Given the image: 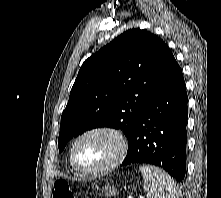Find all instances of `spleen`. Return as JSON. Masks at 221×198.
<instances>
[{"instance_id":"spleen-1","label":"spleen","mask_w":221,"mask_h":198,"mask_svg":"<svg viewBox=\"0 0 221 198\" xmlns=\"http://www.w3.org/2000/svg\"><path fill=\"white\" fill-rule=\"evenodd\" d=\"M147 198H179L176 182L165 171L151 165L139 166Z\"/></svg>"}]
</instances>
